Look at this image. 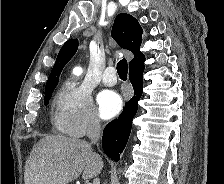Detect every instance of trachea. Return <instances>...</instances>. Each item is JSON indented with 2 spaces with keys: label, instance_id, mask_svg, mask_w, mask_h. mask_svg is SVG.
I'll list each match as a JSON object with an SVG mask.
<instances>
[{
  "label": "trachea",
  "instance_id": "obj_1",
  "mask_svg": "<svg viewBox=\"0 0 224 184\" xmlns=\"http://www.w3.org/2000/svg\"><path fill=\"white\" fill-rule=\"evenodd\" d=\"M127 71H128L127 60L123 58L117 63V73L121 79H127Z\"/></svg>",
  "mask_w": 224,
  "mask_h": 184
}]
</instances>
